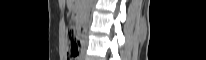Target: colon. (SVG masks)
Wrapping results in <instances>:
<instances>
[{
    "mask_svg": "<svg viewBox=\"0 0 206 60\" xmlns=\"http://www.w3.org/2000/svg\"><path fill=\"white\" fill-rule=\"evenodd\" d=\"M66 39L68 42V59L73 60L77 57L81 43L78 37L76 36L75 29L73 27H68L66 30Z\"/></svg>",
    "mask_w": 206,
    "mask_h": 60,
    "instance_id": "1",
    "label": "colon"
}]
</instances>
